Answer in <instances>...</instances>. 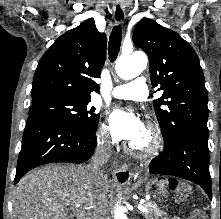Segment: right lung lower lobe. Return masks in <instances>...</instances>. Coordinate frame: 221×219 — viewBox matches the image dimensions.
I'll list each match as a JSON object with an SVG mask.
<instances>
[{
	"label": "right lung lower lobe",
	"instance_id": "right-lung-lower-lobe-1",
	"mask_svg": "<svg viewBox=\"0 0 221 219\" xmlns=\"http://www.w3.org/2000/svg\"><path fill=\"white\" fill-rule=\"evenodd\" d=\"M96 145V132L78 129L56 118L31 114L23 134L14 184L43 164L85 162Z\"/></svg>",
	"mask_w": 221,
	"mask_h": 219
}]
</instances>
